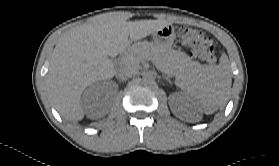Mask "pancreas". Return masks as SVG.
Masks as SVG:
<instances>
[{"mask_svg":"<svg viewBox=\"0 0 279 166\" xmlns=\"http://www.w3.org/2000/svg\"><path fill=\"white\" fill-rule=\"evenodd\" d=\"M145 59H153L160 70L168 75H183L199 66L184 53L170 48H162L150 42L135 43L123 57V65L138 69Z\"/></svg>","mask_w":279,"mask_h":166,"instance_id":"1","label":"pancreas"}]
</instances>
